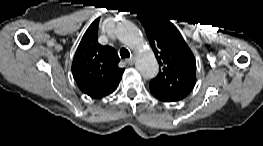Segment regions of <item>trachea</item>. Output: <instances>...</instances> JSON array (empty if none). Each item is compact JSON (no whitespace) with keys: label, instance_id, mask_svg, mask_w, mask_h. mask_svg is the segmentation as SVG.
I'll list each match as a JSON object with an SVG mask.
<instances>
[{"label":"trachea","instance_id":"obj_1","mask_svg":"<svg viewBox=\"0 0 263 146\" xmlns=\"http://www.w3.org/2000/svg\"><path fill=\"white\" fill-rule=\"evenodd\" d=\"M120 56H121V58H129L130 52L126 48H121L120 49Z\"/></svg>","mask_w":263,"mask_h":146}]
</instances>
